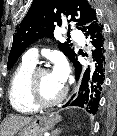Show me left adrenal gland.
Masks as SVG:
<instances>
[{"mask_svg": "<svg viewBox=\"0 0 117 136\" xmlns=\"http://www.w3.org/2000/svg\"><path fill=\"white\" fill-rule=\"evenodd\" d=\"M61 133L60 129H55L54 131H52V136H58Z\"/></svg>", "mask_w": 117, "mask_h": 136, "instance_id": "left-adrenal-gland-1", "label": "left adrenal gland"}]
</instances>
